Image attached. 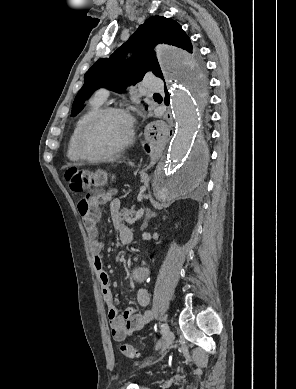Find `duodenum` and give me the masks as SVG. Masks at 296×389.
I'll return each mask as SVG.
<instances>
[{
	"instance_id": "410a0bca",
	"label": "duodenum",
	"mask_w": 296,
	"mask_h": 389,
	"mask_svg": "<svg viewBox=\"0 0 296 389\" xmlns=\"http://www.w3.org/2000/svg\"><path fill=\"white\" fill-rule=\"evenodd\" d=\"M124 243H128V241H124Z\"/></svg>"
}]
</instances>
